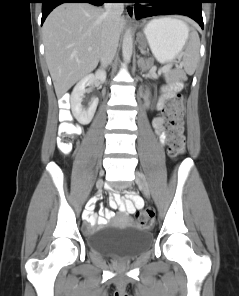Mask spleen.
Returning <instances> with one entry per match:
<instances>
[{"label": "spleen", "instance_id": "obj_1", "mask_svg": "<svg viewBox=\"0 0 239 296\" xmlns=\"http://www.w3.org/2000/svg\"><path fill=\"white\" fill-rule=\"evenodd\" d=\"M185 27L187 29V39H188L189 28L186 25ZM199 47H200V40H199L198 33L196 31H192L190 35L189 43L184 53L183 62H182L184 66V70L189 75H192L195 71L198 57H199Z\"/></svg>", "mask_w": 239, "mask_h": 296}]
</instances>
